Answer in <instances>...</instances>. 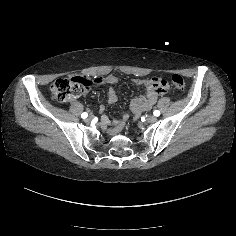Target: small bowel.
<instances>
[{
	"mask_svg": "<svg viewBox=\"0 0 236 236\" xmlns=\"http://www.w3.org/2000/svg\"><path fill=\"white\" fill-rule=\"evenodd\" d=\"M160 80L161 79H159V81ZM116 81H117L116 78L112 76L97 79V82H100V83H115ZM154 82L158 83V80L154 79ZM109 101L111 103H115L117 101V95L113 88L109 90ZM153 103H154V98H150L146 101V103L142 107H140V109H148L149 107H151Z\"/></svg>",
	"mask_w": 236,
	"mask_h": 236,
	"instance_id": "1",
	"label": "small bowel"
}]
</instances>
